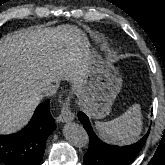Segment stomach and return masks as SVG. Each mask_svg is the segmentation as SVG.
Wrapping results in <instances>:
<instances>
[{
  "label": "stomach",
  "instance_id": "stomach-1",
  "mask_svg": "<svg viewBox=\"0 0 165 165\" xmlns=\"http://www.w3.org/2000/svg\"><path fill=\"white\" fill-rule=\"evenodd\" d=\"M88 53L89 72L79 90L81 105L89 116L102 119L110 113L122 79L118 70L104 62L94 49L89 48Z\"/></svg>",
  "mask_w": 165,
  "mask_h": 165
}]
</instances>
